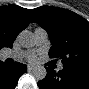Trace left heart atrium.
I'll return each mask as SVG.
<instances>
[{
    "label": "left heart atrium",
    "instance_id": "1",
    "mask_svg": "<svg viewBox=\"0 0 89 89\" xmlns=\"http://www.w3.org/2000/svg\"><path fill=\"white\" fill-rule=\"evenodd\" d=\"M29 60H30V61H35V60H36V57H35V56H30V57H29Z\"/></svg>",
    "mask_w": 89,
    "mask_h": 89
}]
</instances>
